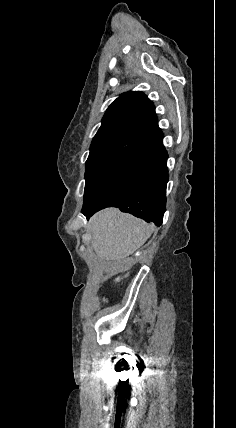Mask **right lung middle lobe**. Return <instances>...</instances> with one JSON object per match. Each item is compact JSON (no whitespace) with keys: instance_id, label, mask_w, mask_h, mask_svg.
<instances>
[{"instance_id":"dd1d6c3e","label":"right lung middle lobe","mask_w":236,"mask_h":428,"mask_svg":"<svg viewBox=\"0 0 236 428\" xmlns=\"http://www.w3.org/2000/svg\"><path fill=\"white\" fill-rule=\"evenodd\" d=\"M144 143L130 142L92 155L86 161L84 204L96 201L130 168Z\"/></svg>"}]
</instances>
